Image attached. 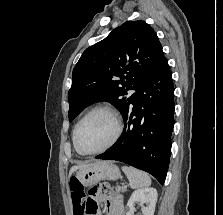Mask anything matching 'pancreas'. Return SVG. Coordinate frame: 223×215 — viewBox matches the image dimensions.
<instances>
[{"instance_id":"pancreas-1","label":"pancreas","mask_w":223,"mask_h":215,"mask_svg":"<svg viewBox=\"0 0 223 215\" xmlns=\"http://www.w3.org/2000/svg\"><path fill=\"white\" fill-rule=\"evenodd\" d=\"M116 191H126V190H122L121 185H116Z\"/></svg>"}]
</instances>
